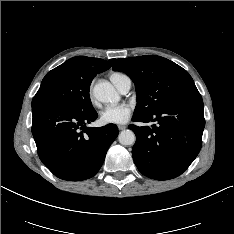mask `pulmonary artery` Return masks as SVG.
Returning a JSON list of instances; mask_svg holds the SVG:
<instances>
[{
	"mask_svg": "<svg viewBox=\"0 0 234 234\" xmlns=\"http://www.w3.org/2000/svg\"><path fill=\"white\" fill-rule=\"evenodd\" d=\"M130 88H131V81L128 80L122 85V87L119 90L121 91V93L126 94L130 90Z\"/></svg>",
	"mask_w": 234,
	"mask_h": 234,
	"instance_id": "e3ab8cb5",
	"label": "pulmonary artery"
}]
</instances>
